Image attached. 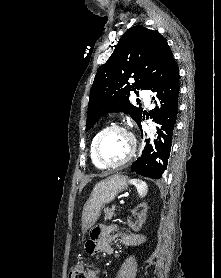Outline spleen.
<instances>
[{"label":"spleen","instance_id":"spleen-1","mask_svg":"<svg viewBox=\"0 0 221 278\" xmlns=\"http://www.w3.org/2000/svg\"><path fill=\"white\" fill-rule=\"evenodd\" d=\"M130 183L133 184L141 197H144L147 194L148 186L144 181L131 179Z\"/></svg>","mask_w":221,"mask_h":278}]
</instances>
